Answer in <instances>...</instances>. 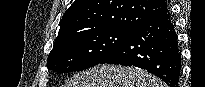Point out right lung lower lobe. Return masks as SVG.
I'll use <instances>...</instances> for the list:
<instances>
[{
    "mask_svg": "<svg viewBox=\"0 0 205 87\" xmlns=\"http://www.w3.org/2000/svg\"><path fill=\"white\" fill-rule=\"evenodd\" d=\"M120 64L145 69L170 87H179L181 54L169 11L139 26L99 64Z\"/></svg>",
    "mask_w": 205,
    "mask_h": 87,
    "instance_id": "obj_1",
    "label": "right lung lower lobe"
}]
</instances>
